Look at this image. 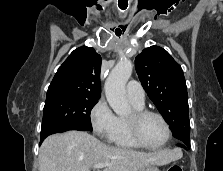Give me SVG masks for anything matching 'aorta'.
Segmentation results:
<instances>
[{
    "label": "aorta",
    "instance_id": "762f6f07",
    "mask_svg": "<svg viewBox=\"0 0 223 171\" xmlns=\"http://www.w3.org/2000/svg\"><path fill=\"white\" fill-rule=\"evenodd\" d=\"M132 70L133 66L129 60H121L112 69L105 82L107 101L117 115H125L130 111L125 86Z\"/></svg>",
    "mask_w": 223,
    "mask_h": 171
}]
</instances>
